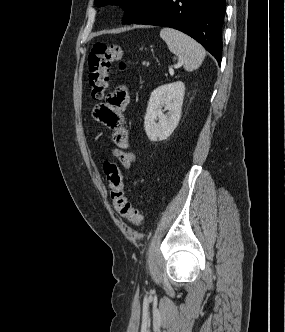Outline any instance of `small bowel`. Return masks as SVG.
Here are the masks:
<instances>
[{"instance_id":"1","label":"small bowel","mask_w":285,"mask_h":332,"mask_svg":"<svg viewBox=\"0 0 285 332\" xmlns=\"http://www.w3.org/2000/svg\"><path fill=\"white\" fill-rule=\"evenodd\" d=\"M129 101L130 95L127 87L119 86L108 95L105 103L95 106L93 110L94 119L112 130V140L115 145L113 155L126 168L135 161V155L127 151L129 132L125 125L124 111Z\"/></svg>"}]
</instances>
